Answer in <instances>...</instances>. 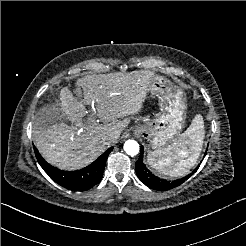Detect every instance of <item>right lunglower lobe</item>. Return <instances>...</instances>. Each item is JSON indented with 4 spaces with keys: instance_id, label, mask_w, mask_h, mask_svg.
Returning a JSON list of instances; mask_svg holds the SVG:
<instances>
[{
    "instance_id": "right-lung-lower-lobe-1",
    "label": "right lung lower lobe",
    "mask_w": 246,
    "mask_h": 246,
    "mask_svg": "<svg viewBox=\"0 0 246 246\" xmlns=\"http://www.w3.org/2000/svg\"><path fill=\"white\" fill-rule=\"evenodd\" d=\"M113 148H109L96 161L89 166L72 172L59 170L48 164L34 148L36 158L44 171L61 186L74 190H88L100 182L108 154Z\"/></svg>"
}]
</instances>
